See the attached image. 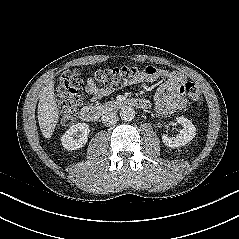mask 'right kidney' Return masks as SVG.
<instances>
[{
    "label": "right kidney",
    "mask_w": 239,
    "mask_h": 239,
    "mask_svg": "<svg viewBox=\"0 0 239 239\" xmlns=\"http://www.w3.org/2000/svg\"><path fill=\"white\" fill-rule=\"evenodd\" d=\"M80 132V134H78ZM90 133L89 125L86 123H78L71 126L61 137V142L67 150H77L85 146ZM78 137L75 139L74 137Z\"/></svg>",
    "instance_id": "right-kidney-1"
}]
</instances>
